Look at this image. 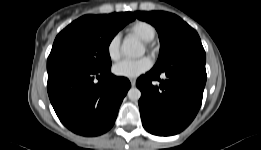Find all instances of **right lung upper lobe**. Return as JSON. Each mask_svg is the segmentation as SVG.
I'll return each instance as SVG.
<instances>
[{
  "mask_svg": "<svg viewBox=\"0 0 261 150\" xmlns=\"http://www.w3.org/2000/svg\"><path fill=\"white\" fill-rule=\"evenodd\" d=\"M119 14L129 16V17H131L133 20L135 19L133 13H131V12H125V13H112V14H109V15H119Z\"/></svg>",
  "mask_w": 261,
  "mask_h": 150,
  "instance_id": "1",
  "label": "right lung upper lobe"
}]
</instances>
